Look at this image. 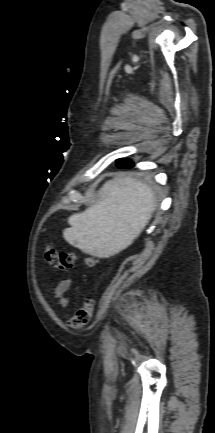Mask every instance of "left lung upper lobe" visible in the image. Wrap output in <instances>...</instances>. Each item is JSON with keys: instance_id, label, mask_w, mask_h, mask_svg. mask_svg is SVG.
Masks as SVG:
<instances>
[{"instance_id": "left-lung-upper-lobe-1", "label": "left lung upper lobe", "mask_w": 215, "mask_h": 433, "mask_svg": "<svg viewBox=\"0 0 215 433\" xmlns=\"http://www.w3.org/2000/svg\"><path fill=\"white\" fill-rule=\"evenodd\" d=\"M132 162L129 160V159H118L117 160V165H119V166H125V165H129V164H131Z\"/></svg>"}]
</instances>
